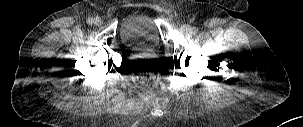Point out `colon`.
<instances>
[{
    "label": "colon",
    "instance_id": "1",
    "mask_svg": "<svg viewBox=\"0 0 303 127\" xmlns=\"http://www.w3.org/2000/svg\"><path fill=\"white\" fill-rule=\"evenodd\" d=\"M158 65L154 62L142 61L137 65V75L140 84L145 88L156 87L155 75L158 73Z\"/></svg>",
    "mask_w": 303,
    "mask_h": 127
}]
</instances>
